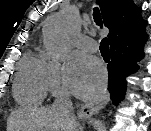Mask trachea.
I'll return each instance as SVG.
<instances>
[{
  "mask_svg": "<svg viewBox=\"0 0 151 131\" xmlns=\"http://www.w3.org/2000/svg\"><path fill=\"white\" fill-rule=\"evenodd\" d=\"M93 16H94V21L96 22V24L102 27V19H101V15L98 8L94 9ZM100 52L105 61L110 60L109 42L107 38L102 39L100 43Z\"/></svg>",
  "mask_w": 151,
  "mask_h": 131,
  "instance_id": "trachea-1",
  "label": "trachea"
}]
</instances>
